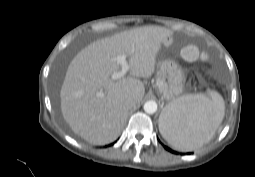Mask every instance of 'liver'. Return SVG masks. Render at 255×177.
I'll use <instances>...</instances> for the list:
<instances>
[{
    "label": "liver",
    "instance_id": "1",
    "mask_svg": "<svg viewBox=\"0 0 255 177\" xmlns=\"http://www.w3.org/2000/svg\"><path fill=\"white\" fill-rule=\"evenodd\" d=\"M171 35L164 27H139L93 42L74 57L60 98L63 118L75 134L93 145L118 138L129 112L126 100L140 103L145 88L138 78L154 73L161 44ZM118 55L128 57L130 76L113 80L111 75L120 69Z\"/></svg>",
    "mask_w": 255,
    "mask_h": 177
}]
</instances>
